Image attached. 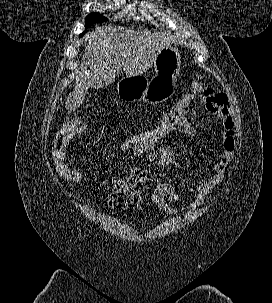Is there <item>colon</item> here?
Returning a JSON list of instances; mask_svg holds the SVG:
<instances>
[{
    "mask_svg": "<svg viewBox=\"0 0 272 303\" xmlns=\"http://www.w3.org/2000/svg\"><path fill=\"white\" fill-rule=\"evenodd\" d=\"M203 87L198 81L193 82L191 89L178 98L164 111L160 119L152 126L132 132L125 136L118 144L119 151H133L137 149L153 148L174 134L188 129L191 124L187 113L195 93ZM86 130V125L80 119L68 122L57 132L52 144V162L58 175L68 181H81L87 171L81 167H74L66 161L65 153L69 142ZM142 195L138 192H112L107 196V205L111 208H131L138 205Z\"/></svg>",
    "mask_w": 272,
    "mask_h": 303,
    "instance_id": "colon-1",
    "label": "colon"
}]
</instances>
